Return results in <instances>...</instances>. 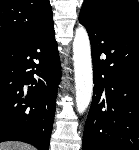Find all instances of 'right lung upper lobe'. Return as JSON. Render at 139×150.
I'll list each match as a JSON object with an SVG mask.
<instances>
[{
	"label": "right lung upper lobe",
	"instance_id": "right-lung-upper-lobe-1",
	"mask_svg": "<svg viewBox=\"0 0 139 150\" xmlns=\"http://www.w3.org/2000/svg\"><path fill=\"white\" fill-rule=\"evenodd\" d=\"M51 20L49 0H0V45L28 39Z\"/></svg>",
	"mask_w": 139,
	"mask_h": 150
}]
</instances>
